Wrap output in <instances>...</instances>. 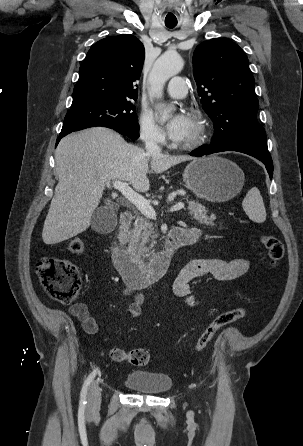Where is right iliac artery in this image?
<instances>
[{"mask_svg": "<svg viewBox=\"0 0 303 446\" xmlns=\"http://www.w3.org/2000/svg\"><path fill=\"white\" fill-rule=\"evenodd\" d=\"M98 368L95 369L86 379V381L83 384L82 390H81V399L80 402L85 404L86 402V398H87V394H88V388L90 386V383L92 382V380L94 379V377L96 376L97 372H98Z\"/></svg>", "mask_w": 303, "mask_h": 446, "instance_id": "right-iliac-artery-1", "label": "right iliac artery"}]
</instances>
